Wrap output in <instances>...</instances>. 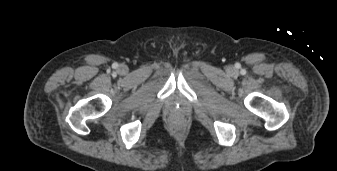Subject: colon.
<instances>
[{
    "mask_svg": "<svg viewBox=\"0 0 337 171\" xmlns=\"http://www.w3.org/2000/svg\"><path fill=\"white\" fill-rule=\"evenodd\" d=\"M173 125H174V126H178V125H179V122H173Z\"/></svg>",
    "mask_w": 337,
    "mask_h": 171,
    "instance_id": "obj_1",
    "label": "colon"
}]
</instances>
